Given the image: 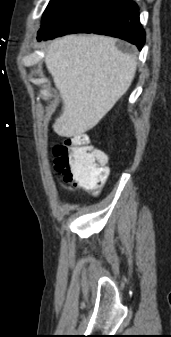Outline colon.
<instances>
[{"mask_svg":"<svg viewBox=\"0 0 171 337\" xmlns=\"http://www.w3.org/2000/svg\"><path fill=\"white\" fill-rule=\"evenodd\" d=\"M54 167L66 183L99 194L107 180L109 168L106 153L95 148L84 133L65 137L53 148Z\"/></svg>","mask_w":171,"mask_h":337,"instance_id":"1","label":"colon"}]
</instances>
